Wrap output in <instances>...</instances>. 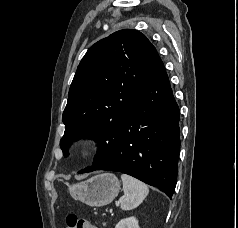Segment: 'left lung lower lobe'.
<instances>
[{
	"label": "left lung lower lobe",
	"mask_w": 238,
	"mask_h": 228,
	"mask_svg": "<svg viewBox=\"0 0 238 228\" xmlns=\"http://www.w3.org/2000/svg\"><path fill=\"white\" fill-rule=\"evenodd\" d=\"M179 118L178 105L158 56L129 115L121 124L113 156L85 172L125 173L172 196L180 150Z\"/></svg>",
	"instance_id": "left-lung-lower-lobe-1"
}]
</instances>
